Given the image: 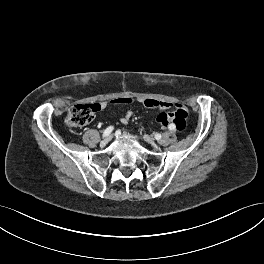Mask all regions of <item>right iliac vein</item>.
Listing matches in <instances>:
<instances>
[{
	"label": "right iliac vein",
	"mask_w": 264,
	"mask_h": 264,
	"mask_svg": "<svg viewBox=\"0 0 264 264\" xmlns=\"http://www.w3.org/2000/svg\"><path fill=\"white\" fill-rule=\"evenodd\" d=\"M112 135H108L107 137H105L102 141H106V142H110V140L112 139Z\"/></svg>",
	"instance_id": "63e3f726"
}]
</instances>
